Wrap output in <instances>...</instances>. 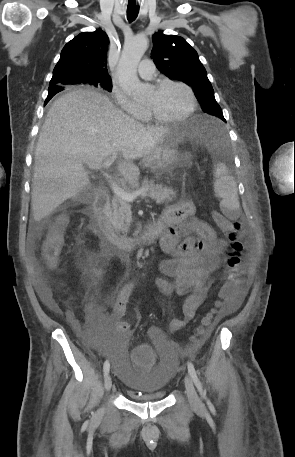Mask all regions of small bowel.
Masks as SVG:
<instances>
[{"label":"small bowel","instance_id":"obj_1","mask_svg":"<svg viewBox=\"0 0 295 457\" xmlns=\"http://www.w3.org/2000/svg\"><path fill=\"white\" fill-rule=\"evenodd\" d=\"M159 220L164 229L160 240L162 251L171 256L163 261L159 270L165 277H157L153 284L166 296L188 295L181 306V317H173L169 330L176 332L184 328L196 315L197 309L206 301L211 275L216 271L225 254L227 243L219 238L214 229L195 215V206L183 199L164 209ZM135 284H126L117 297L110 302L111 312L105 304L91 302L86 305V322L97 334L116 333L118 338H128L131 333L125 318L126 304L134 291ZM44 303L57 312L59 309L46 287L40 288ZM244 288L241 286L237 299L229 305L235 309L242 300ZM150 337L163 342L158 326L149 328Z\"/></svg>","mask_w":295,"mask_h":457}]
</instances>
